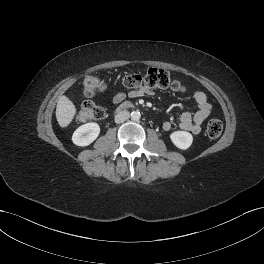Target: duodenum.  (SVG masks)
<instances>
[{"instance_id": "1", "label": "duodenum", "mask_w": 264, "mask_h": 264, "mask_svg": "<svg viewBox=\"0 0 264 264\" xmlns=\"http://www.w3.org/2000/svg\"><path fill=\"white\" fill-rule=\"evenodd\" d=\"M131 106L132 105L130 103L124 102L116 109V113H119V112H121V111H123V110H125V109H127V108H129Z\"/></svg>"}]
</instances>
